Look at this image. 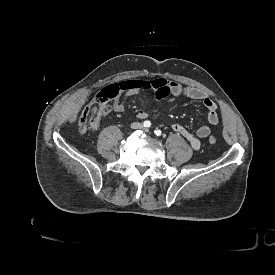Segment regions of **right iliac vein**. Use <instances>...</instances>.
I'll list each match as a JSON object with an SVG mask.
<instances>
[{"label":"right iliac vein","mask_w":275,"mask_h":275,"mask_svg":"<svg viewBox=\"0 0 275 275\" xmlns=\"http://www.w3.org/2000/svg\"><path fill=\"white\" fill-rule=\"evenodd\" d=\"M134 127H139V124H135Z\"/></svg>","instance_id":"obj_1"}]
</instances>
